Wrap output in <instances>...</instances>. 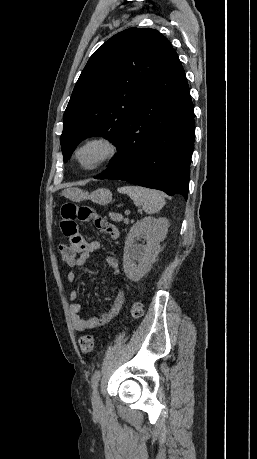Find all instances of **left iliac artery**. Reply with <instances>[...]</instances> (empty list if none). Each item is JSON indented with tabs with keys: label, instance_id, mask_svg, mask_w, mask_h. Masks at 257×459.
<instances>
[{
	"label": "left iliac artery",
	"instance_id": "left-iliac-artery-1",
	"mask_svg": "<svg viewBox=\"0 0 257 459\" xmlns=\"http://www.w3.org/2000/svg\"><path fill=\"white\" fill-rule=\"evenodd\" d=\"M101 372L100 370H96L94 374L92 375L91 382H92V387L96 389L98 386V382L100 380Z\"/></svg>",
	"mask_w": 257,
	"mask_h": 459
}]
</instances>
